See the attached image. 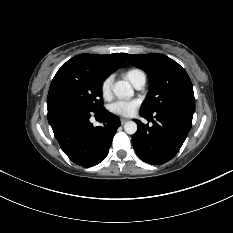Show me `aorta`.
Masks as SVG:
<instances>
[{
	"label": "aorta",
	"instance_id": "obj_1",
	"mask_svg": "<svg viewBox=\"0 0 233 233\" xmlns=\"http://www.w3.org/2000/svg\"><path fill=\"white\" fill-rule=\"evenodd\" d=\"M113 93L119 99L131 98L134 90L127 81H118L113 85ZM124 130L127 134L133 135L137 131V124L134 121H128L124 124Z\"/></svg>",
	"mask_w": 233,
	"mask_h": 233
}]
</instances>
